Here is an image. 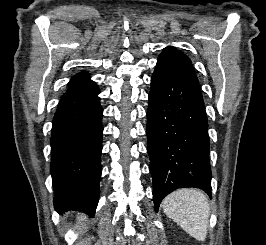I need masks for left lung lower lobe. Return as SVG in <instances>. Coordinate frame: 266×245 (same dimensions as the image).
Masks as SVG:
<instances>
[{
	"label": "left lung lower lobe",
	"instance_id": "1",
	"mask_svg": "<svg viewBox=\"0 0 266 245\" xmlns=\"http://www.w3.org/2000/svg\"><path fill=\"white\" fill-rule=\"evenodd\" d=\"M146 134L156 212L179 188H200L211 197L208 122L199 82L170 59L158 58L151 77Z\"/></svg>",
	"mask_w": 266,
	"mask_h": 245
}]
</instances>
